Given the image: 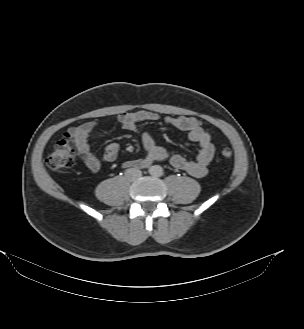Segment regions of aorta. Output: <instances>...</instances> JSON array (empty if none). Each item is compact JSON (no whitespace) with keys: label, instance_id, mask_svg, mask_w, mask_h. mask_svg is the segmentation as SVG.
Wrapping results in <instances>:
<instances>
[{"label":"aorta","instance_id":"obj_1","mask_svg":"<svg viewBox=\"0 0 304 329\" xmlns=\"http://www.w3.org/2000/svg\"><path fill=\"white\" fill-rule=\"evenodd\" d=\"M150 173L153 175V176H161L163 174V169L161 166L159 165H155V166H152L151 169H150Z\"/></svg>","mask_w":304,"mask_h":329}]
</instances>
